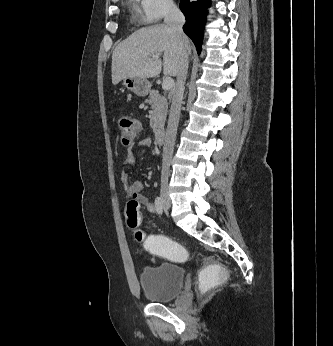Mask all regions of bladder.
Masks as SVG:
<instances>
[{
  "mask_svg": "<svg viewBox=\"0 0 333 346\" xmlns=\"http://www.w3.org/2000/svg\"><path fill=\"white\" fill-rule=\"evenodd\" d=\"M140 285L146 297L153 303L172 300L181 291L184 281L183 269L172 263L145 267L140 274Z\"/></svg>",
  "mask_w": 333,
  "mask_h": 346,
  "instance_id": "31cf9c89",
  "label": "bladder"
}]
</instances>
